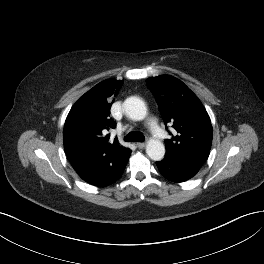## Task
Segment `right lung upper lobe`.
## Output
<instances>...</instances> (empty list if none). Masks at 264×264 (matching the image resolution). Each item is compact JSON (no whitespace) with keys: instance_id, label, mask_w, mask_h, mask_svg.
Wrapping results in <instances>:
<instances>
[{"instance_id":"1","label":"right lung upper lobe","mask_w":264,"mask_h":264,"mask_svg":"<svg viewBox=\"0 0 264 264\" xmlns=\"http://www.w3.org/2000/svg\"><path fill=\"white\" fill-rule=\"evenodd\" d=\"M123 81L108 79L85 93L71 108L64 125V150L72 163L106 160L119 162L129 154L117 139L109 143L106 131L115 127L110 117L112 96Z\"/></svg>"}]
</instances>
